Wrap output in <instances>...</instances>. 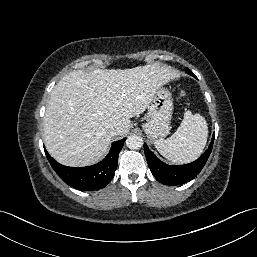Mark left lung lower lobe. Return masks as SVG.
<instances>
[{"instance_id":"left-lung-lower-lobe-1","label":"left lung lower lobe","mask_w":257,"mask_h":257,"mask_svg":"<svg viewBox=\"0 0 257 257\" xmlns=\"http://www.w3.org/2000/svg\"><path fill=\"white\" fill-rule=\"evenodd\" d=\"M195 77V75H192ZM215 134L212 137L211 143L204 154L196 161L185 165H167L160 161L147 145L144 144V152L146 155L148 166L154 177L165 185H181L195 178L204 167L211 153Z\"/></svg>"}]
</instances>
